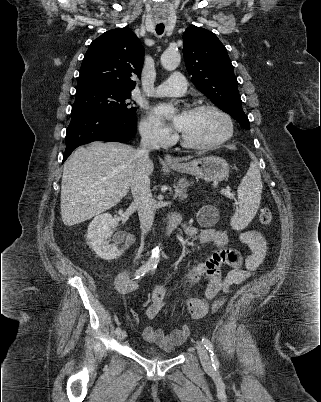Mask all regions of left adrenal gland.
<instances>
[{
	"instance_id": "a2214340",
	"label": "left adrenal gland",
	"mask_w": 321,
	"mask_h": 402,
	"mask_svg": "<svg viewBox=\"0 0 321 402\" xmlns=\"http://www.w3.org/2000/svg\"><path fill=\"white\" fill-rule=\"evenodd\" d=\"M190 186V184L186 181V179L181 178L177 185L174 187L175 188V197H179L181 200H184L187 198V188Z\"/></svg>"
}]
</instances>
